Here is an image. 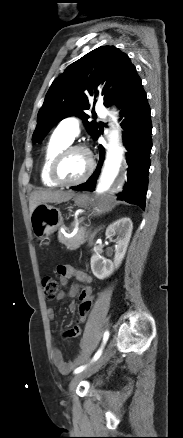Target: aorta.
I'll use <instances>...</instances> for the list:
<instances>
[{
  "label": "aorta",
  "instance_id": "762f6f07",
  "mask_svg": "<svg viewBox=\"0 0 183 438\" xmlns=\"http://www.w3.org/2000/svg\"><path fill=\"white\" fill-rule=\"evenodd\" d=\"M123 156V149L119 144V132L113 131L110 135V148L108 150L105 167L97 185V192L107 191L117 177Z\"/></svg>",
  "mask_w": 183,
  "mask_h": 438
}]
</instances>
